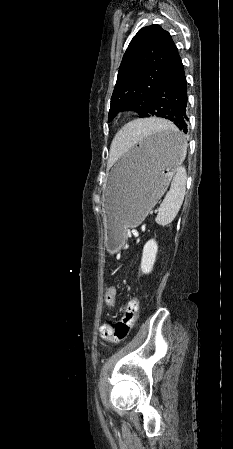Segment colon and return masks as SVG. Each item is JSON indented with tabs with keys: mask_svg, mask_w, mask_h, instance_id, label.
Listing matches in <instances>:
<instances>
[{
	"mask_svg": "<svg viewBox=\"0 0 233 449\" xmlns=\"http://www.w3.org/2000/svg\"><path fill=\"white\" fill-rule=\"evenodd\" d=\"M118 286L119 283L114 281L113 283L108 284L105 290L104 300L109 307H112L115 304ZM138 312L139 300L136 297H133L128 301L122 318L115 321L113 326L106 325L101 330L102 337L105 340L115 343L125 340L135 325Z\"/></svg>",
	"mask_w": 233,
	"mask_h": 449,
	"instance_id": "obj_1",
	"label": "colon"
}]
</instances>
